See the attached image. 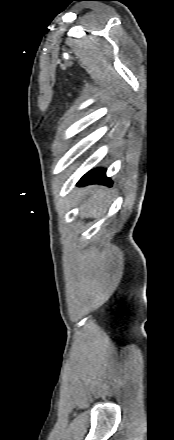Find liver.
Returning a JSON list of instances; mask_svg holds the SVG:
<instances>
[{"instance_id":"obj_1","label":"liver","mask_w":174,"mask_h":440,"mask_svg":"<svg viewBox=\"0 0 174 440\" xmlns=\"http://www.w3.org/2000/svg\"><path fill=\"white\" fill-rule=\"evenodd\" d=\"M111 191L103 186H88L78 191L77 204L85 217L100 216L111 202Z\"/></svg>"}]
</instances>
